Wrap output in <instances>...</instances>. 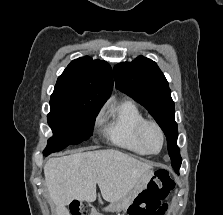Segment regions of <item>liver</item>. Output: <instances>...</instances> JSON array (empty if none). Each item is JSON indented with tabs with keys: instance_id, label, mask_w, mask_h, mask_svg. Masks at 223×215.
<instances>
[{
	"instance_id": "obj_1",
	"label": "liver",
	"mask_w": 223,
	"mask_h": 215,
	"mask_svg": "<svg viewBox=\"0 0 223 215\" xmlns=\"http://www.w3.org/2000/svg\"><path fill=\"white\" fill-rule=\"evenodd\" d=\"M152 165L117 149L78 151L49 157L44 165L45 185L56 205L57 215H70L72 199L95 201L98 183L106 201H119Z\"/></svg>"
}]
</instances>
